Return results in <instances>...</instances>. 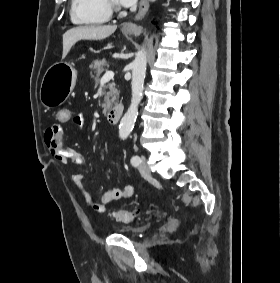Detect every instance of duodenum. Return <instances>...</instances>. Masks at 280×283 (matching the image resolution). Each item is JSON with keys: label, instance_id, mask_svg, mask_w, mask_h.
Returning <instances> with one entry per match:
<instances>
[{"label": "duodenum", "instance_id": "410a0bca", "mask_svg": "<svg viewBox=\"0 0 280 283\" xmlns=\"http://www.w3.org/2000/svg\"><path fill=\"white\" fill-rule=\"evenodd\" d=\"M124 106L119 104L113 107L111 110L107 112L106 119L110 124H116L119 122L122 114H123Z\"/></svg>", "mask_w": 280, "mask_h": 283}]
</instances>
